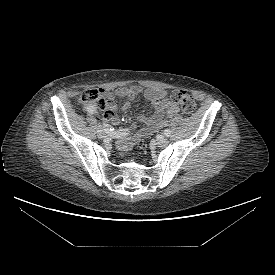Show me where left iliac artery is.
<instances>
[{"label":"left iliac artery","mask_w":275,"mask_h":275,"mask_svg":"<svg viewBox=\"0 0 275 275\" xmlns=\"http://www.w3.org/2000/svg\"><path fill=\"white\" fill-rule=\"evenodd\" d=\"M164 135H165L166 137H170V136H171V130H170V129H166V130L164 131Z\"/></svg>","instance_id":"obj_1"}]
</instances>
